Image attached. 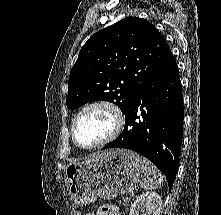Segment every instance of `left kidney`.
Here are the masks:
<instances>
[{
    "instance_id": "left-kidney-1",
    "label": "left kidney",
    "mask_w": 221,
    "mask_h": 215,
    "mask_svg": "<svg viewBox=\"0 0 221 215\" xmlns=\"http://www.w3.org/2000/svg\"><path fill=\"white\" fill-rule=\"evenodd\" d=\"M162 207L161 196L156 192H145L137 196L130 208L129 215H160Z\"/></svg>"
}]
</instances>
